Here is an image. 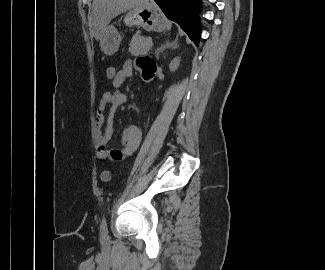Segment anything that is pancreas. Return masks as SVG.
Returning a JSON list of instances; mask_svg holds the SVG:
<instances>
[{"label":"pancreas","mask_w":325,"mask_h":270,"mask_svg":"<svg viewBox=\"0 0 325 270\" xmlns=\"http://www.w3.org/2000/svg\"><path fill=\"white\" fill-rule=\"evenodd\" d=\"M149 40V38L142 37L139 34L134 35L130 43L129 52L133 56L147 54L151 49Z\"/></svg>","instance_id":"pancreas-1"}]
</instances>
